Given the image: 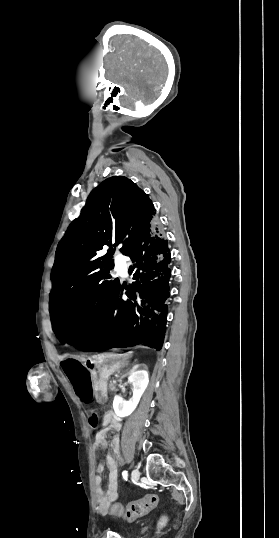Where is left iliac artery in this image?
<instances>
[{
	"instance_id": "left-iliac-artery-1",
	"label": "left iliac artery",
	"mask_w": 279,
	"mask_h": 538,
	"mask_svg": "<svg viewBox=\"0 0 279 538\" xmlns=\"http://www.w3.org/2000/svg\"><path fill=\"white\" fill-rule=\"evenodd\" d=\"M122 476H123V479H124V480H127V478H128V471L124 470V471L122 472Z\"/></svg>"
}]
</instances>
